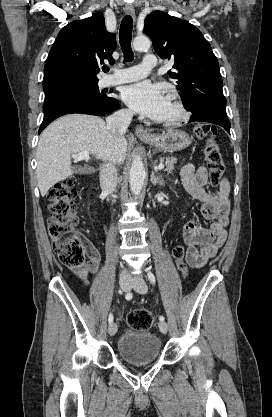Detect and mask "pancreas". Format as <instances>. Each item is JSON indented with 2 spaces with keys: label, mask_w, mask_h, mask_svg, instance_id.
Returning <instances> with one entry per match:
<instances>
[{
  "label": "pancreas",
  "mask_w": 272,
  "mask_h": 417,
  "mask_svg": "<svg viewBox=\"0 0 272 417\" xmlns=\"http://www.w3.org/2000/svg\"><path fill=\"white\" fill-rule=\"evenodd\" d=\"M176 159L175 158H170V157H161L160 158V162H165L166 168L164 171H166L167 173L171 174L173 172V170L175 169V164H176Z\"/></svg>",
  "instance_id": "pancreas-1"
}]
</instances>
